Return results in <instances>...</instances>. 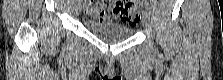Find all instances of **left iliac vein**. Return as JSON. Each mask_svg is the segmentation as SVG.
<instances>
[{"mask_svg":"<svg viewBox=\"0 0 223 80\" xmlns=\"http://www.w3.org/2000/svg\"><path fill=\"white\" fill-rule=\"evenodd\" d=\"M142 25L145 29H149L150 27V17L146 11H144L142 15Z\"/></svg>","mask_w":223,"mask_h":80,"instance_id":"left-iliac-vein-1","label":"left iliac vein"}]
</instances>
